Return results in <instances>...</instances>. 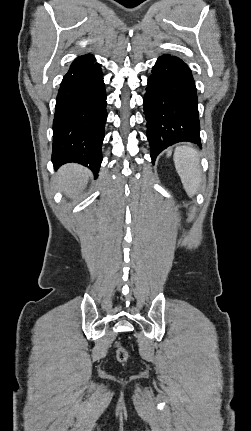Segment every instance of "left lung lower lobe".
<instances>
[{"instance_id":"obj_1","label":"left lung lower lobe","mask_w":251,"mask_h":431,"mask_svg":"<svg viewBox=\"0 0 251 431\" xmlns=\"http://www.w3.org/2000/svg\"><path fill=\"white\" fill-rule=\"evenodd\" d=\"M144 96L151 159L177 142L201 145L198 99L188 65L169 54L158 58Z\"/></svg>"}]
</instances>
